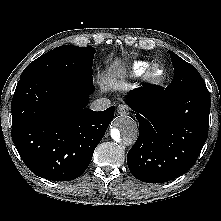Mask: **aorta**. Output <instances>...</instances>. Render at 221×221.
I'll list each match as a JSON object with an SVG mask.
<instances>
[{"instance_id": "1", "label": "aorta", "mask_w": 221, "mask_h": 221, "mask_svg": "<svg viewBox=\"0 0 221 221\" xmlns=\"http://www.w3.org/2000/svg\"><path fill=\"white\" fill-rule=\"evenodd\" d=\"M138 136V124L130 116H119L115 126L111 129V137L117 143L124 145L133 144Z\"/></svg>"}]
</instances>
